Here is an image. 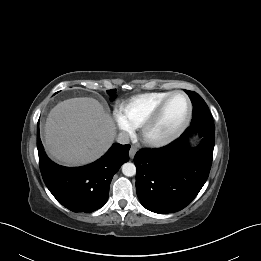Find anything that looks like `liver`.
Returning <instances> with one entry per match:
<instances>
[{
	"instance_id": "1",
	"label": "liver",
	"mask_w": 261,
	"mask_h": 261,
	"mask_svg": "<svg viewBox=\"0 0 261 261\" xmlns=\"http://www.w3.org/2000/svg\"><path fill=\"white\" fill-rule=\"evenodd\" d=\"M115 124L93 98H72L58 103L45 124L49 154L65 165L80 166L101 157L112 145Z\"/></svg>"
}]
</instances>
